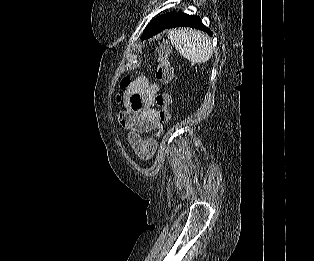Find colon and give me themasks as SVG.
I'll return each mask as SVG.
<instances>
[{
	"instance_id": "5ec220e1",
	"label": "colon",
	"mask_w": 314,
	"mask_h": 261,
	"mask_svg": "<svg viewBox=\"0 0 314 261\" xmlns=\"http://www.w3.org/2000/svg\"><path fill=\"white\" fill-rule=\"evenodd\" d=\"M157 58L154 76L155 79L163 84H168L174 76V70L168 59L169 45L161 42L156 46ZM130 80L125 79L122 87L128 88ZM156 103L159 107L158 117L162 123H168L170 120L169 104L170 96L167 93H160L156 96Z\"/></svg>"
}]
</instances>
